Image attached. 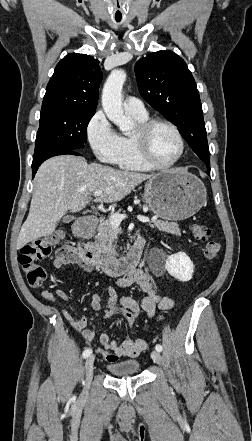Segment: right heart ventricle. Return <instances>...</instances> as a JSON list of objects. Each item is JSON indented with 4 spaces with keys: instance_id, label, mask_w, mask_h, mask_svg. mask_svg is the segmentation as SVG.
<instances>
[{
    "instance_id": "e07e8e85",
    "label": "right heart ventricle",
    "mask_w": 252,
    "mask_h": 441,
    "mask_svg": "<svg viewBox=\"0 0 252 441\" xmlns=\"http://www.w3.org/2000/svg\"><path fill=\"white\" fill-rule=\"evenodd\" d=\"M135 120L141 124L148 121V116H135L132 115ZM120 168L136 171V172H147L152 170L148 165H146L139 157L136 145L133 139V135L121 136V151L116 163Z\"/></svg>"
}]
</instances>
